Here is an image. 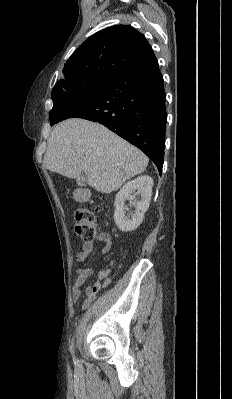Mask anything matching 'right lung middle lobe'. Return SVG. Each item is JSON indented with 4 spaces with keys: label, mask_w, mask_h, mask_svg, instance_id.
<instances>
[{
    "label": "right lung middle lobe",
    "mask_w": 232,
    "mask_h": 399,
    "mask_svg": "<svg viewBox=\"0 0 232 399\" xmlns=\"http://www.w3.org/2000/svg\"><path fill=\"white\" fill-rule=\"evenodd\" d=\"M107 80L108 78H81L68 85L63 92L51 95L53 100V108L50 111L51 126L55 124L56 118L69 103L81 101L93 94L106 84Z\"/></svg>",
    "instance_id": "obj_1"
}]
</instances>
